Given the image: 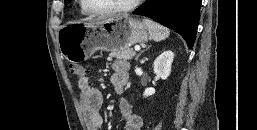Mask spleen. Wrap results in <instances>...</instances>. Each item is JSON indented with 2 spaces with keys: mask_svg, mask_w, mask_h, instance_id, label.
Here are the masks:
<instances>
[{
  "mask_svg": "<svg viewBox=\"0 0 257 130\" xmlns=\"http://www.w3.org/2000/svg\"><path fill=\"white\" fill-rule=\"evenodd\" d=\"M143 23L147 27L149 34L154 41L160 42L168 38L170 34V31L168 28L147 18L143 19Z\"/></svg>",
  "mask_w": 257,
  "mask_h": 130,
  "instance_id": "obj_1",
  "label": "spleen"
}]
</instances>
